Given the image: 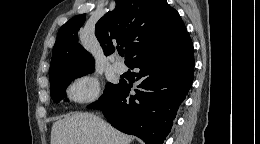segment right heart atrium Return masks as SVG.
Instances as JSON below:
<instances>
[{
    "label": "right heart atrium",
    "instance_id": "d8ad5b80",
    "mask_svg": "<svg viewBox=\"0 0 260 144\" xmlns=\"http://www.w3.org/2000/svg\"><path fill=\"white\" fill-rule=\"evenodd\" d=\"M100 93L99 81L92 75H84L75 79L67 88L68 97L77 102H90Z\"/></svg>",
    "mask_w": 260,
    "mask_h": 144
}]
</instances>
